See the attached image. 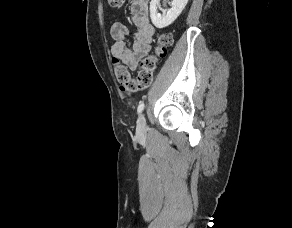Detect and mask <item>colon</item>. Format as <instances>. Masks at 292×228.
Here are the masks:
<instances>
[{
    "instance_id": "1",
    "label": "colon",
    "mask_w": 292,
    "mask_h": 228,
    "mask_svg": "<svg viewBox=\"0 0 292 228\" xmlns=\"http://www.w3.org/2000/svg\"><path fill=\"white\" fill-rule=\"evenodd\" d=\"M113 8H119L125 0H107ZM172 44L170 34H161L156 42L152 54L143 58L139 64L137 76L134 78L123 66H115V74L120 84V89L127 95H133L140 90L150 87L153 81L154 72L160 59L166 56L167 49Z\"/></svg>"
}]
</instances>
